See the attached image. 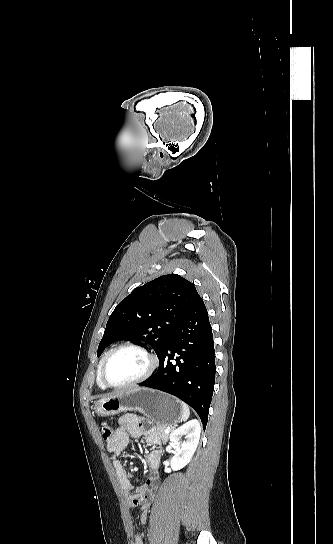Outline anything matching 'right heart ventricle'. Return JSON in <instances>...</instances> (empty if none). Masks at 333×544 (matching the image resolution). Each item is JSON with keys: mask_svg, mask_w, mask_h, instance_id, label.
<instances>
[{"mask_svg": "<svg viewBox=\"0 0 333 544\" xmlns=\"http://www.w3.org/2000/svg\"><path fill=\"white\" fill-rule=\"evenodd\" d=\"M108 354V352H106L103 357L101 358V360L99 361V364H98V371H97V383L98 385L104 389L106 388V386L102 383L101 379H100V368H101V365H102V362L104 360V358L106 357V355Z\"/></svg>", "mask_w": 333, "mask_h": 544, "instance_id": "right-heart-ventricle-1", "label": "right heart ventricle"}]
</instances>
